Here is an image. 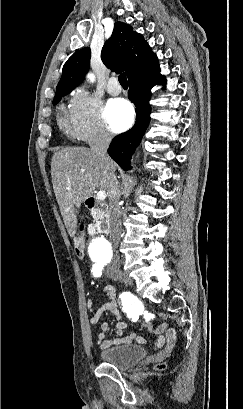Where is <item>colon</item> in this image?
<instances>
[{
    "label": "colon",
    "instance_id": "colon-1",
    "mask_svg": "<svg viewBox=\"0 0 243 409\" xmlns=\"http://www.w3.org/2000/svg\"><path fill=\"white\" fill-rule=\"evenodd\" d=\"M74 249H75V254L79 257L82 258L84 256V241L81 237H76L74 240ZM157 368L161 369L164 368L163 364H158Z\"/></svg>",
    "mask_w": 243,
    "mask_h": 409
}]
</instances>
